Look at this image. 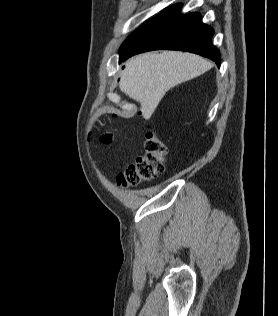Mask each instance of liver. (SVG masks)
I'll return each instance as SVG.
<instances>
[{
    "label": "liver",
    "instance_id": "liver-1",
    "mask_svg": "<svg viewBox=\"0 0 278 316\" xmlns=\"http://www.w3.org/2000/svg\"><path fill=\"white\" fill-rule=\"evenodd\" d=\"M211 67V62L191 53H145L127 61L119 87L140 103L142 116L147 120L169 89L202 75Z\"/></svg>",
    "mask_w": 278,
    "mask_h": 316
}]
</instances>
